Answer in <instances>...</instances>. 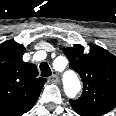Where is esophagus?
Wrapping results in <instances>:
<instances>
[{
  "instance_id": "34e87169",
  "label": "esophagus",
  "mask_w": 116,
  "mask_h": 116,
  "mask_svg": "<svg viewBox=\"0 0 116 116\" xmlns=\"http://www.w3.org/2000/svg\"><path fill=\"white\" fill-rule=\"evenodd\" d=\"M48 80L52 83H57L59 81V78L57 75L53 74L52 76L48 78Z\"/></svg>"
}]
</instances>
